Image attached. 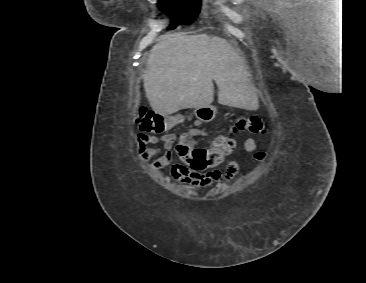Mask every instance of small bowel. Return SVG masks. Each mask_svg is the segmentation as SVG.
Segmentation results:
<instances>
[{
	"instance_id": "c3829d8e",
	"label": "small bowel",
	"mask_w": 366,
	"mask_h": 283,
	"mask_svg": "<svg viewBox=\"0 0 366 283\" xmlns=\"http://www.w3.org/2000/svg\"><path fill=\"white\" fill-rule=\"evenodd\" d=\"M176 141L174 134H164L160 137L148 134H139L137 136L138 154L142 160H148L154 156L158 158L153 162V167L158 170H168L171 176L191 188L201 189L213 184L229 182L239 172V165L235 161L227 163L225 170L218 167L225 162L226 157L231 153L223 154L218 149L216 158L219 161L212 167L204 171H194L184 165H171L172 148ZM160 145V146H158ZM244 149L251 153L256 149L254 138H247L244 142Z\"/></svg>"
}]
</instances>
